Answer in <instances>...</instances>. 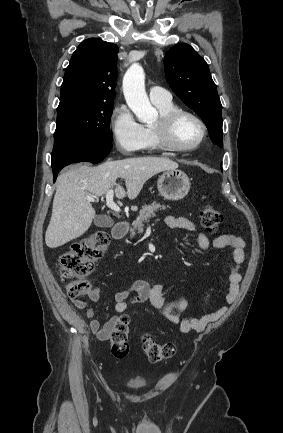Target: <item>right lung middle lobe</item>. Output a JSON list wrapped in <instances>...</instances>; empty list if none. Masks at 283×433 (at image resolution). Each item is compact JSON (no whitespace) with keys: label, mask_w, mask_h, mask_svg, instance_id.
I'll return each mask as SVG.
<instances>
[{"label":"right lung middle lobe","mask_w":283,"mask_h":433,"mask_svg":"<svg viewBox=\"0 0 283 433\" xmlns=\"http://www.w3.org/2000/svg\"><path fill=\"white\" fill-rule=\"evenodd\" d=\"M113 102L72 105L57 111L54 141L74 139L99 145L111 144Z\"/></svg>","instance_id":"obj_1"}]
</instances>
